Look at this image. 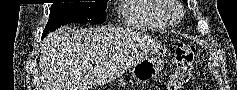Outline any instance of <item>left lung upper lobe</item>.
<instances>
[{
    "label": "left lung upper lobe",
    "mask_w": 237,
    "mask_h": 90,
    "mask_svg": "<svg viewBox=\"0 0 237 90\" xmlns=\"http://www.w3.org/2000/svg\"><path fill=\"white\" fill-rule=\"evenodd\" d=\"M185 4H187V0H183Z\"/></svg>",
    "instance_id": "left-lung-upper-lobe-1"
}]
</instances>
